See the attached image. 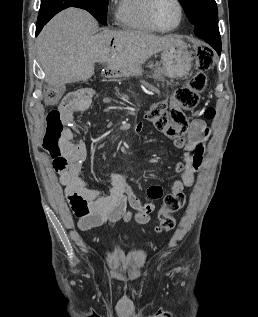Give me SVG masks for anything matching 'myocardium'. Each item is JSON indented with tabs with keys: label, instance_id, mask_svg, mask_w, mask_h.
<instances>
[{
	"label": "myocardium",
	"instance_id": "1",
	"mask_svg": "<svg viewBox=\"0 0 258 317\" xmlns=\"http://www.w3.org/2000/svg\"><path fill=\"white\" fill-rule=\"evenodd\" d=\"M159 0H151L148 7H147V19L148 21L152 24V26L160 31V32H170V31H173L175 30L181 23L182 21V18H183V7H182V3L180 0H175V2L177 3L178 5V10H179V15H178V19H177V22L169 27V28H162L160 27L157 22L155 21L154 17H153V8L155 6V4L158 2Z\"/></svg>",
	"mask_w": 258,
	"mask_h": 317
}]
</instances>
